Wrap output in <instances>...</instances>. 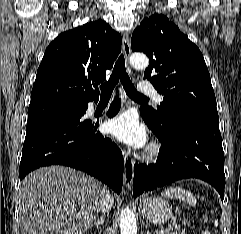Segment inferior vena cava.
Masks as SVG:
<instances>
[{
  "label": "inferior vena cava",
  "instance_id": "602c4592",
  "mask_svg": "<svg viewBox=\"0 0 241 234\" xmlns=\"http://www.w3.org/2000/svg\"><path fill=\"white\" fill-rule=\"evenodd\" d=\"M112 205H113V197H111L108 190H104V197L100 208L102 213H105L106 211H108Z\"/></svg>",
  "mask_w": 241,
  "mask_h": 234
}]
</instances>
